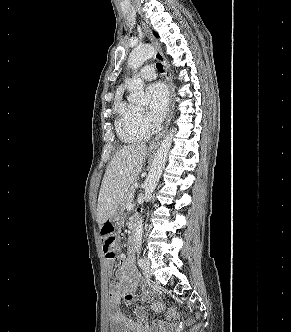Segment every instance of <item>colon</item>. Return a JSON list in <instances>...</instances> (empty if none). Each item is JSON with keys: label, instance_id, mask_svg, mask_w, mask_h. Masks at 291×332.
<instances>
[{"label": "colon", "instance_id": "obj_1", "mask_svg": "<svg viewBox=\"0 0 291 332\" xmlns=\"http://www.w3.org/2000/svg\"><path fill=\"white\" fill-rule=\"evenodd\" d=\"M101 239L103 244V252L106 258L113 259L116 255L118 239L112 224L106 223L101 229ZM200 328L198 323L194 324L189 332H197Z\"/></svg>", "mask_w": 291, "mask_h": 332}]
</instances>
